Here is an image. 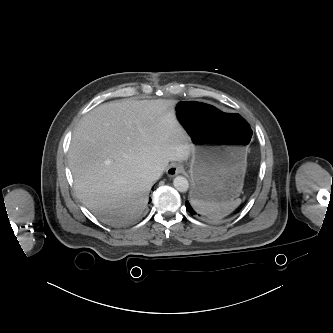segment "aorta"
<instances>
[{
  "instance_id": "aorta-1",
  "label": "aorta",
  "mask_w": 333,
  "mask_h": 333,
  "mask_svg": "<svg viewBox=\"0 0 333 333\" xmlns=\"http://www.w3.org/2000/svg\"><path fill=\"white\" fill-rule=\"evenodd\" d=\"M173 185L179 192H186L189 188L188 180L183 176H176Z\"/></svg>"
}]
</instances>
